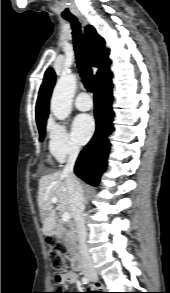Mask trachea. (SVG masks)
Returning <instances> with one entry per match:
<instances>
[{"label":"trachea","mask_w":170,"mask_h":293,"mask_svg":"<svg viewBox=\"0 0 170 293\" xmlns=\"http://www.w3.org/2000/svg\"><path fill=\"white\" fill-rule=\"evenodd\" d=\"M66 20L69 21L72 26L73 44H74V50H75V55L77 60V67L79 69L82 82L85 88L89 92H92L93 86H94L93 73H92L90 63L85 54L80 23L78 22L76 18H71Z\"/></svg>","instance_id":"obj_1"}]
</instances>
